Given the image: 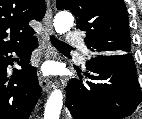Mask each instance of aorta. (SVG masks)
I'll use <instances>...</instances> for the list:
<instances>
[{
	"label": "aorta",
	"mask_w": 142,
	"mask_h": 119,
	"mask_svg": "<svg viewBox=\"0 0 142 119\" xmlns=\"http://www.w3.org/2000/svg\"><path fill=\"white\" fill-rule=\"evenodd\" d=\"M74 23V17L70 12H59L53 21L54 28L57 33L64 34L68 32ZM63 104V94L59 89H55L47 100L44 119H59Z\"/></svg>",
	"instance_id": "obj_1"
}]
</instances>
